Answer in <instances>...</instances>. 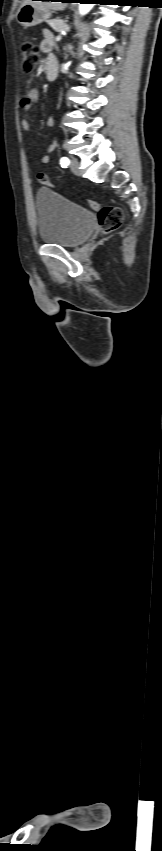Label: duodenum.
<instances>
[{"instance_id": "duodenum-1", "label": "duodenum", "mask_w": 162, "mask_h": 851, "mask_svg": "<svg viewBox=\"0 0 162 851\" xmlns=\"http://www.w3.org/2000/svg\"><path fill=\"white\" fill-rule=\"evenodd\" d=\"M45 72L47 79L49 81H54L58 75V62L55 58H48L46 60Z\"/></svg>"}]
</instances>
